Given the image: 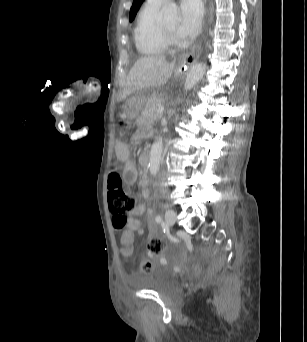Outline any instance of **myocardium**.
Here are the masks:
<instances>
[{"mask_svg":"<svg viewBox=\"0 0 307 342\" xmlns=\"http://www.w3.org/2000/svg\"><path fill=\"white\" fill-rule=\"evenodd\" d=\"M156 39L160 47L165 53L173 54L177 53L181 46H173L171 42L165 37L161 25L157 22L156 23Z\"/></svg>","mask_w":307,"mask_h":342,"instance_id":"1","label":"myocardium"}]
</instances>
